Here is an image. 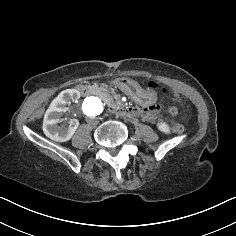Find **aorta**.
<instances>
[{
  "mask_svg": "<svg viewBox=\"0 0 236 236\" xmlns=\"http://www.w3.org/2000/svg\"><path fill=\"white\" fill-rule=\"evenodd\" d=\"M81 111L86 118L97 117L103 112V102L97 96L86 97L82 103Z\"/></svg>",
  "mask_w": 236,
  "mask_h": 236,
  "instance_id": "762f6f07",
  "label": "aorta"
}]
</instances>
